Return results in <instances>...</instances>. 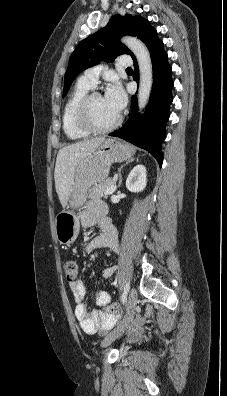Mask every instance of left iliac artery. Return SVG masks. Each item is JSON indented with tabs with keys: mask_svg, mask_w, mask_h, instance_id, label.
Instances as JSON below:
<instances>
[{
	"mask_svg": "<svg viewBox=\"0 0 227 396\" xmlns=\"http://www.w3.org/2000/svg\"><path fill=\"white\" fill-rule=\"evenodd\" d=\"M128 291H129V283H126L125 287H124V291H123L122 296H121V301H122L123 304H125L126 301H127Z\"/></svg>",
	"mask_w": 227,
	"mask_h": 396,
	"instance_id": "44dca946",
	"label": "left iliac artery"
}]
</instances>
